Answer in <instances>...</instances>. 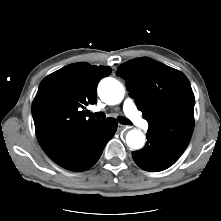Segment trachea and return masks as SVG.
Listing matches in <instances>:
<instances>
[{
	"mask_svg": "<svg viewBox=\"0 0 221 221\" xmlns=\"http://www.w3.org/2000/svg\"><path fill=\"white\" fill-rule=\"evenodd\" d=\"M89 116L91 117H95L97 119H104L106 116L103 112H96V113H89ZM118 121L119 123L123 124V125H131L132 123L130 122L129 119L123 117V116H119L118 117Z\"/></svg>",
	"mask_w": 221,
	"mask_h": 221,
	"instance_id": "trachea-1",
	"label": "trachea"
}]
</instances>
